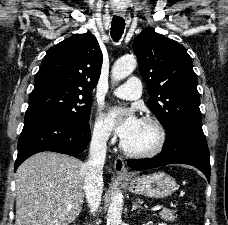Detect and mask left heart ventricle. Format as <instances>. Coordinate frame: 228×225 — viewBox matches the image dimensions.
<instances>
[{
  "mask_svg": "<svg viewBox=\"0 0 228 225\" xmlns=\"http://www.w3.org/2000/svg\"><path fill=\"white\" fill-rule=\"evenodd\" d=\"M125 142L131 148L147 150L156 146L158 134L152 125L141 122L136 135L131 140Z\"/></svg>",
  "mask_w": 228,
  "mask_h": 225,
  "instance_id": "left-heart-ventricle-1",
  "label": "left heart ventricle"
}]
</instances>
